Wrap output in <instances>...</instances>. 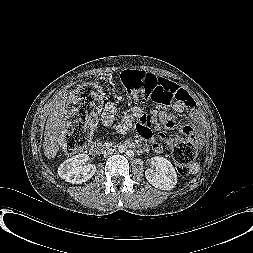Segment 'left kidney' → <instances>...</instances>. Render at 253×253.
I'll list each match as a JSON object with an SVG mask.
<instances>
[{"mask_svg": "<svg viewBox=\"0 0 253 253\" xmlns=\"http://www.w3.org/2000/svg\"><path fill=\"white\" fill-rule=\"evenodd\" d=\"M151 168L145 171V177L150 184L161 190H171L177 183L175 168L164 157L154 156L150 161Z\"/></svg>", "mask_w": 253, "mask_h": 253, "instance_id": "1", "label": "left kidney"}]
</instances>
